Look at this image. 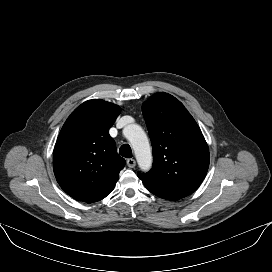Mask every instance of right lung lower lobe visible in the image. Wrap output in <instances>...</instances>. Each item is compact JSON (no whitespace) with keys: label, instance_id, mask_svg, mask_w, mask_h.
Returning a JSON list of instances; mask_svg holds the SVG:
<instances>
[{"label":"right lung lower lobe","instance_id":"1","mask_svg":"<svg viewBox=\"0 0 272 272\" xmlns=\"http://www.w3.org/2000/svg\"><path fill=\"white\" fill-rule=\"evenodd\" d=\"M113 189H114V188H113ZM113 189H112V190H113ZM112 190H110L108 193H106V195H105L103 198H105L108 194H110ZM103 198H102V199H103Z\"/></svg>","mask_w":272,"mask_h":272}]
</instances>
